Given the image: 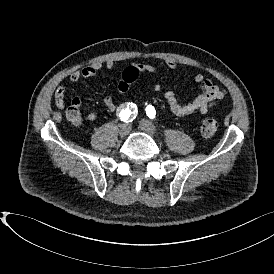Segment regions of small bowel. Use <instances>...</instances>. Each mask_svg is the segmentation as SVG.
<instances>
[{
	"mask_svg": "<svg viewBox=\"0 0 274 274\" xmlns=\"http://www.w3.org/2000/svg\"><path fill=\"white\" fill-rule=\"evenodd\" d=\"M165 65L170 69H177L178 64L172 59H167ZM139 69L140 72L145 74H153L156 72L154 65L150 63H138L134 65ZM115 67V62L113 60H106L103 63H92L82 69L73 71L70 74V82L76 83L81 79L92 78L102 69H113ZM194 82L200 86V93L196 95L191 101L187 103H182L176 94L172 91H167L165 93V100L173 114L178 117H188L195 114H204L208 109L218 100L222 99L224 96V90L216 85L211 79L207 78L203 73H197L194 78ZM127 87H120L118 89L120 92H125L128 89ZM154 91H160L162 86L160 82L155 81L152 85ZM64 98H65V87L59 85L55 91V104L58 110L64 108ZM71 103L80 107V100L74 98ZM103 104L110 111L118 110L117 104L114 102L111 95H106L103 98ZM98 116L94 112H89L85 116V121L92 123L97 120ZM76 125L81 124V120L74 122Z\"/></svg>",
	"mask_w": 274,
	"mask_h": 274,
	"instance_id": "1",
	"label": "small bowel"
}]
</instances>
